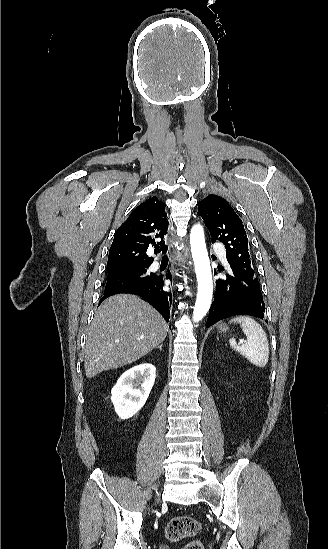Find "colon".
<instances>
[{"mask_svg": "<svg viewBox=\"0 0 328 549\" xmlns=\"http://www.w3.org/2000/svg\"><path fill=\"white\" fill-rule=\"evenodd\" d=\"M202 529L201 523L190 516H178L173 518L166 527V537L171 542H178L186 538L196 536ZM181 549H203L198 540H193L181 547Z\"/></svg>", "mask_w": 328, "mask_h": 549, "instance_id": "1", "label": "colon"}]
</instances>
